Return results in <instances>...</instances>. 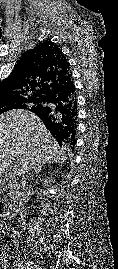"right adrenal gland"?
Returning <instances> with one entry per match:
<instances>
[{
	"label": "right adrenal gland",
	"instance_id": "right-adrenal-gland-1",
	"mask_svg": "<svg viewBox=\"0 0 118 269\" xmlns=\"http://www.w3.org/2000/svg\"><path fill=\"white\" fill-rule=\"evenodd\" d=\"M42 167H43L42 165L37 166V167H34V171H33V173H36V174L40 173V172H41ZM33 173H31V174H33Z\"/></svg>",
	"mask_w": 118,
	"mask_h": 269
}]
</instances>
